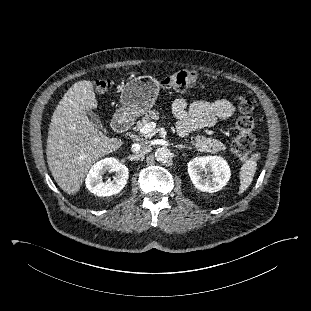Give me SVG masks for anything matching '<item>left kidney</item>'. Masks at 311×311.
<instances>
[{
	"mask_svg": "<svg viewBox=\"0 0 311 311\" xmlns=\"http://www.w3.org/2000/svg\"><path fill=\"white\" fill-rule=\"evenodd\" d=\"M188 174L195 187L204 192L221 190L230 179V168L220 156L196 157L188 163Z\"/></svg>",
	"mask_w": 311,
	"mask_h": 311,
	"instance_id": "1",
	"label": "left kidney"
}]
</instances>
